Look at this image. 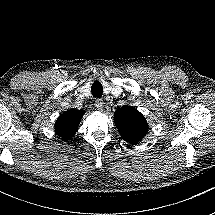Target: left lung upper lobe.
I'll use <instances>...</instances> for the list:
<instances>
[{
	"mask_svg": "<svg viewBox=\"0 0 215 215\" xmlns=\"http://www.w3.org/2000/svg\"><path fill=\"white\" fill-rule=\"evenodd\" d=\"M114 122L122 138L130 144H138L149 129L145 117L130 106L117 109Z\"/></svg>",
	"mask_w": 215,
	"mask_h": 215,
	"instance_id": "obj_1",
	"label": "left lung upper lobe"
}]
</instances>
